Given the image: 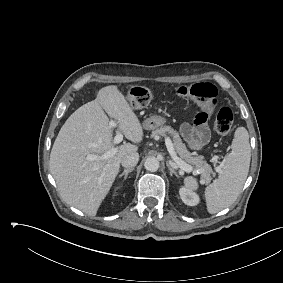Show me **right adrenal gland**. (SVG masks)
<instances>
[{
    "mask_svg": "<svg viewBox=\"0 0 283 283\" xmlns=\"http://www.w3.org/2000/svg\"><path fill=\"white\" fill-rule=\"evenodd\" d=\"M134 170V168H128V169H124L123 173L119 175V178L124 176V180H126L128 174L130 172H132Z\"/></svg>",
    "mask_w": 283,
    "mask_h": 283,
    "instance_id": "obj_1",
    "label": "right adrenal gland"
}]
</instances>
